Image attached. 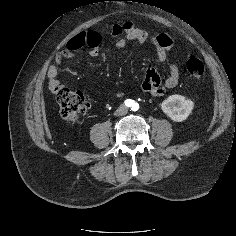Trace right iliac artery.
<instances>
[{"instance_id": "82829eb1", "label": "right iliac artery", "mask_w": 236, "mask_h": 236, "mask_svg": "<svg viewBox=\"0 0 236 236\" xmlns=\"http://www.w3.org/2000/svg\"><path fill=\"white\" fill-rule=\"evenodd\" d=\"M125 105L128 107H131L133 105V100H131V99L125 100Z\"/></svg>"}]
</instances>
